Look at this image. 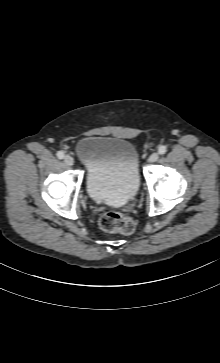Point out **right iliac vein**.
<instances>
[{
  "label": "right iliac vein",
  "instance_id": "63e3f726",
  "mask_svg": "<svg viewBox=\"0 0 220 363\" xmlns=\"http://www.w3.org/2000/svg\"><path fill=\"white\" fill-rule=\"evenodd\" d=\"M64 162L66 163V165L72 166L74 164V159L70 155H66L64 157Z\"/></svg>",
  "mask_w": 220,
  "mask_h": 363
}]
</instances>
